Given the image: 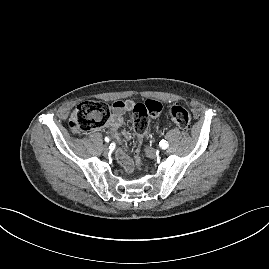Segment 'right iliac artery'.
Returning <instances> with one entry per match:
<instances>
[{"label":"right iliac artery","instance_id":"1","mask_svg":"<svg viewBox=\"0 0 269 269\" xmlns=\"http://www.w3.org/2000/svg\"><path fill=\"white\" fill-rule=\"evenodd\" d=\"M106 142H109V138L108 137H105V139H104Z\"/></svg>","mask_w":269,"mask_h":269}]
</instances>
